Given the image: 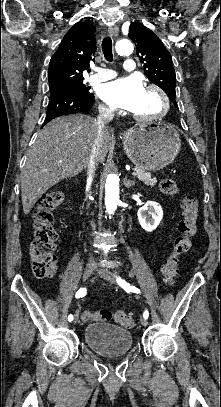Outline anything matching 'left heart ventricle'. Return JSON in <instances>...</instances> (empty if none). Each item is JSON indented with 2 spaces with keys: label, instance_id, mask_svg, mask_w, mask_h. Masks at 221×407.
Here are the masks:
<instances>
[{
  "label": "left heart ventricle",
  "instance_id": "obj_1",
  "mask_svg": "<svg viewBox=\"0 0 221 407\" xmlns=\"http://www.w3.org/2000/svg\"><path fill=\"white\" fill-rule=\"evenodd\" d=\"M161 109V103L155 92L144 90L137 106L132 110L137 115L151 116Z\"/></svg>",
  "mask_w": 221,
  "mask_h": 407
}]
</instances>
